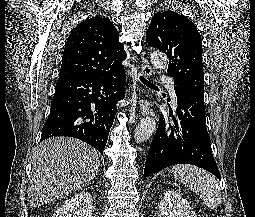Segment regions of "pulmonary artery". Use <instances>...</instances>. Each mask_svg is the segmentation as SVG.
<instances>
[{
  "instance_id": "e3ab8cb5",
  "label": "pulmonary artery",
  "mask_w": 255,
  "mask_h": 217,
  "mask_svg": "<svg viewBox=\"0 0 255 217\" xmlns=\"http://www.w3.org/2000/svg\"><path fill=\"white\" fill-rule=\"evenodd\" d=\"M162 82L167 86V88L169 89L172 101L174 104H177V96H176V92H175V84L174 81L169 78V77H163L162 78Z\"/></svg>"
}]
</instances>
